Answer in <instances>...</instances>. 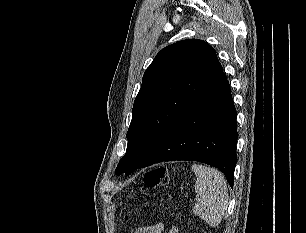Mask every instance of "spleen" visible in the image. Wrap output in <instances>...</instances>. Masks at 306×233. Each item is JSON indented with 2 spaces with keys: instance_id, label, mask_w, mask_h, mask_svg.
I'll list each match as a JSON object with an SVG mask.
<instances>
[{
  "instance_id": "obj_1",
  "label": "spleen",
  "mask_w": 306,
  "mask_h": 233,
  "mask_svg": "<svg viewBox=\"0 0 306 233\" xmlns=\"http://www.w3.org/2000/svg\"><path fill=\"white\" fill-rule=\"evenodd\" d=\"M192 170L196 175L195 192L200 196L193 212L209 226L216 227L228 206L225 178L218 170L199 164H193Z\"/></svg>"
}]
</instances>
